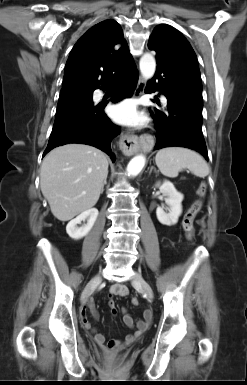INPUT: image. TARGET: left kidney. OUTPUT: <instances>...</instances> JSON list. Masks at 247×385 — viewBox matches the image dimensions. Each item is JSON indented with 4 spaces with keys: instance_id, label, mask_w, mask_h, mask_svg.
I'll list each match as a JSON object with an SVG mask.
<instances>
[{
    "instance_id": "1",
    "label": "left kidney",
    "mask_w": 247,
    "mask_h": 385,
    "mask_svg": "<svg viewBox=\"0 0 247 385\" xmlns=\"http://www.w3.org/2000/svg\"><path fill=\"white\" fill-rule=\"evenodd\" d=\"M159 187L160 191L166 197L165 202L168 205V213L164 211L163 207H158L156 210V215L158 221L167 226L175 225L178 222V218L182 213V201L183 194L178 192L174 185L169 181H164L163 184L160 185L158 183L156 185Z\"/></svg>"
}]
</instances>
